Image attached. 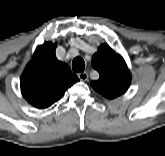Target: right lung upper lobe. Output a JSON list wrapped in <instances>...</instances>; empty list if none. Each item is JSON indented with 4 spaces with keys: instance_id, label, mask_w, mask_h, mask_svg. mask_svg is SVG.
Segmentation results:
<instances>
[{
    "instance_id": "right-lung-upper-lobe-1",
    "label": "right lung upper lobe",
    "mask_w": 165,
    "mask_h": 156,
    "mask_svg": "<svg viewBox=\"0 0 165 156\" xmlns=\"http://www.w3.org/2000/svg\"><path fill=\"white\" fill-rule=\"evenodd\" d=\"M55 48L51 42L40 45L21 77L23 97L39 109L51 106L79 81L67 64L57 60Z\"/></svg>"
}]
</instances>
